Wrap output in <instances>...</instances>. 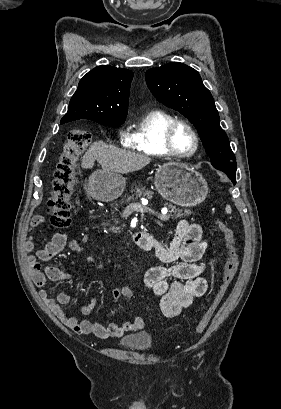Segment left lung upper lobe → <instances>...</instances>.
<instances>
[{
	"label": "left lung upper lobe",
	"instance_id": "1",
	"mask_svg": "<svg viewBox=\"0 0 281 409\" xmlns=\"http://www.w3.org/2000/svg\"><path fill=\"white\" fill-rule=\"evenodd\" d=\"M145 78L159 102L179 111L195 126L212 165L236 170V159L220 126L214 99L199 73L183 63L172 62L149 69Z\"/></svg>",
	"mask_w": 281,
	"mask_h": 409
}]
</instances>
